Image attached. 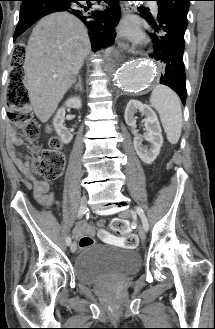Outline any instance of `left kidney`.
I'll list each match as a JSON object with an SVG mask.
<instances>
[{"instance_id":"1","label":"left kidney","mask_w":215,"mask_h":329,"mask_svg":"<svg viewBox=\"0 0 215 329\" xmlns=\"http://www.w3.org/2000/svg\"><path fill=\"white\" fill-rule=\"evenodd\" d=\"M140 111L145 116L144 123L146 134L141 136L136 131V118L134 114ZM125 122L132 128L134 135V148L139 158L146 164H151L160 153L163 144V136L161 127L156 113L148 106L138 100H130L126 106L124 114ZM145 139L151 146L150 149L142 146V141Z\"/></svg>"}]
</instances>
